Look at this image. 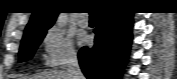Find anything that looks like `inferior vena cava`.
Returning <instances> with one entry per match:
<instances>
[{
	"label": "inferior vena cava",
	"mask_w": 177,
	"mask_h": 79,
	"mask_svg": "<svg viewBox=\"0 0 177 79\" xmlns=\"http://www.w3.org/2000/svg\"><path fill=\"white\" fill-rule=\"evenodd\" d=\"M66 72L68 79H84V75L80 69L77 54L75 52L70 53L68 56Z\"/></svg>",
	"instance_id": "obj_1"
}]
</instances>
